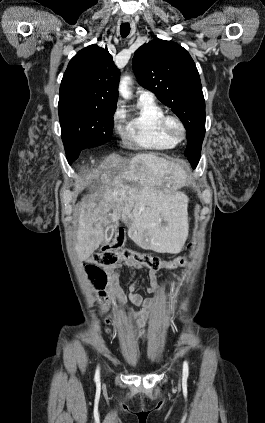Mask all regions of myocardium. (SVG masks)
I'll return each mask as SVG.
<instances>
[{
	"label": "myocardium",
	"mask_w": 265,
	"mask_h": 423,
	"mask_svg": "<svg viewBox=\"0 0 265 423\" xmlns=\"http://www.w3.org/2000/svg\"><path fill=\"white\" fill-rule=\"evenodd\" d=\"M175 123L179 127V132L175 133L172 130V124ZM163 133L171 140L179 143L186 138L187 127L183 120L173 114H165L160 122Z\"/></svg>",
	"instance_id": "1"
}]
</instances>
